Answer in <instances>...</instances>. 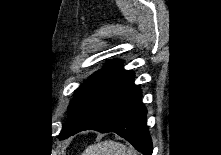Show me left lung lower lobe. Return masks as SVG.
Masks as SVG:
<instances>
[{
  "label": "left lung lower lobe",
  "instance_id": "0a47b994",
  "mask_svg": "<svg viewBox=\"0 0 221 155\" xmlns=\"http://www.w3.org/2000/svg\"><path fill=\"white\" fill-rule=\"evenodd\" d=\"M146 108L134 74L122 68L106 77L92 92L76 119L59 135L65 139L83 130L115 132L143 155H152Z\"/></svg>",
  "mask_w": 221,
  "mask_h": 155
}]
</instances>
